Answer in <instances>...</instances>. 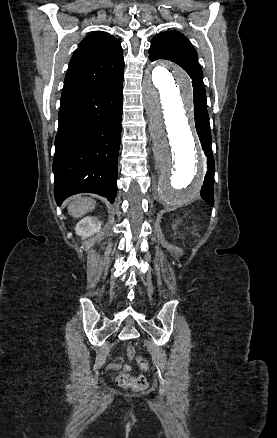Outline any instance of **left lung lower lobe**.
Instances as JSON below:
<instances>
[{"instance_id":"0a47b994","label":"left lung lower lobe","mask_w":277,"mask_h":438,"mask_svg":"<svg viewBox=\"0 0 277 438\" xmlns=\"http://www.w3.org/2000/svg\"><path fill=\"white\" fill-rule=\"evenodd\" d=\"M195 126L199 139L201 141L202 149L207 156V174L204 179V185L202 186L200 195L211 206L214 204V158L211 151V133L209 126L208 113H201L194 111Z\"/></svg>"}]
</instances>
